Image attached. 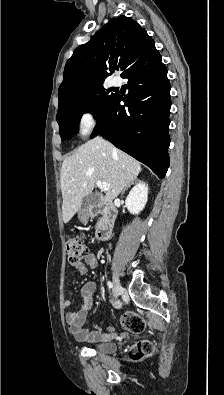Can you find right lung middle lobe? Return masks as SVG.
Returning <instances> with one entry per match:
<instances>
[{
  "label": "right lung middle lobe",
  "instance_id": "right-lung-middle-lobe-1",
  "mask_svg": "<svg viewBox=\"0 0 224 395\" xmlns=\"http://www.w3.org/2000/svg\"><path fill=\"white\" fill-rule=\"evenodd\" d=\"M110 91L101 84L69 98L58 107L56 120L63 141L78 132L80 118L85 112L90 111L99 120L116 95Z\"/></svg>",
  "mask_w": 224,
  "mask_h": 395
}]
</instances>
